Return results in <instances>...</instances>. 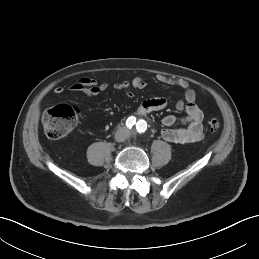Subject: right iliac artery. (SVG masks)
Instances as JSON below:
<instances>
[{"mask_svg":"<svg viewBox=\"0 0 259 259\" xmlns=\"http://www.w3.org/2000/svg\"><path fill=\"white\" fill-rule=\"evenodd\" d=\"M136 123V118L131 116L127 119L126 125L127 127L131 128Z\"/></svg>","mask_w":259,"mask_h":259,"instance_id":"82829eb1","label":"right iliac artery"}]
</instances>
